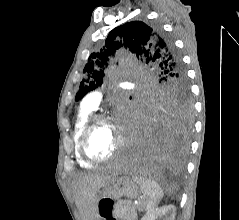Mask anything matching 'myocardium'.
<instances>
[{
  "instance_id": "f54148a6",
  "label": "myocardium",
  "mask_w": 239,
  "mask_h": 220,
  "mask_svg": "<svg viewBox=\"0 0 239 220\" xmlns=\"http://www.w3.org/2000/svg\"><path fill=\"white\" fill-rule=\"evenodd\" d=\"M99 123L114 124V120H113V117L105 115V114H94V115L90 116L88 121L86 122L85 126L82 129V132L80 135V140H79L80 152H81L83 158L93 164H99V163H105V162L111 161L121 151V149L123 148L124 143H125L124 137L120 132L119 141L117 143V146L111 154H109L106 157H101V158L93 156L88 149V140H89V136H90L92 130Z\"/></svg>"
}]
</instances>
